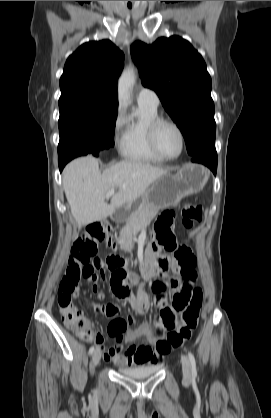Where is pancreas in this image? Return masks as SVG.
I'll list each match as a JSON object with an SVG mask.
<instances>
[{
    "instance_id": "1",
    "label": "pancreas",
    "mask_w": 271,
    "mask_h": 418,
    "mask_svg": "<svg viewBox=\"0 0 271 418\" xmlns=\"http://www.w3.org/2000/svg\"><path fill=\"white\" fill-rule=\"evenodd\" d=\"M158 210L148 205H141L131 212L125 226L120 230L119 243L123 246L131 245L136 234L149 224Z\"/></svg>"
}]
</instances>
